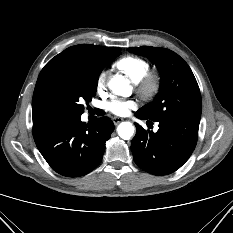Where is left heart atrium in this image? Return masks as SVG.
<instances>
[{
  "mask_svg": "<svg viewBox=\"0 0 233 233\" xmlns=\"http://www.w3.org/2000/svg\"><path fill=\"white\" fill-rule=\"evenodd\" d=\"M137 104L133 100H124L119 98H114L106 103V109L117 116H125L129 113L131 109L136 108Z\"/></svg>",
  "mask_w": 233,
  "mask_h": 233,
  "instance_id": "1",
  "label": "left heart atrium"
}]
</instances>
